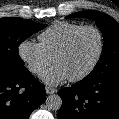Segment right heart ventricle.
<instances>
[{"label": "right heart ventricle", "instance_id": "1", "mask_svg": "<svg viewBox=\"0 0 119 119\" xmlns=\"http://www.w3.org/2000/svg\"><path fill=\"white\" fill-rule=\"evenodd\" d=\"M82 26L81 24L68 21L55 22L39 35V44L53 59L68 38Z\"/></svg>", "mask_w": 119, "mask_h": 119}]
</instances>
